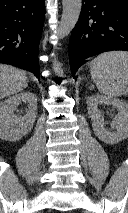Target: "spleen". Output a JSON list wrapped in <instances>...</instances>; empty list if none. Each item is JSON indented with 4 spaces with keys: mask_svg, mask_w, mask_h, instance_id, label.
Masks as SVG:
<instances>
[{
    "mask_svg": "<svg viewBox=\"0 0 128 213\" xmlns=\"http://www.w3.org/2000/svg\"><path fill=\"white\" fill-rule=\"evenodd\" d=\"M91 78L106 97L128 95V52L98 55L91 63Z\"/></svg>",
    "mask_w": 128,
    "mask_h": 213,
    "instance_id": "1",
    "label": "spleen"
}]
</instances>
